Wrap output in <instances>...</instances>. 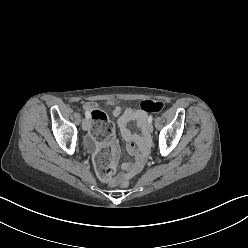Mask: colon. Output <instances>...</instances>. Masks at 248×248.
Wrapping results in <instances>:
<instances>
[{
	"label": "colon",
	"mask_w": 248,
	"mask_h": 248,
	"mask_svg": "<svg viewBox=\"0 0 248 248\" xmlns=\"http://www.w3.org/2000/svg\"><path fill=\"white\" fill-rule=\"evenodd\" d=\"M165 109V104L157 100H143L140 103V110L146 113H159ZM90 117L93 122V135L97 145L101 146L94 153V166L101 178L110 180L116 170V161L113 159L112 150L107 144L110 143L111 137L115 134V126L108 119L107 115L99 110L94 109L90 112ZM119 185L122 188L129 187L127 177L119 178Z\"/></svg>",
	"instance_id": "1"
}]
</instances>
